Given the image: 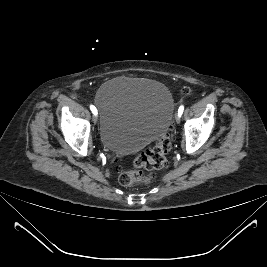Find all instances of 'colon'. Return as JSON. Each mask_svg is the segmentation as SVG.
<instances>
[{
	"label": "colon",
	"instance_id": "5ec220e1",
	"mask_svg": "<svg viewBox=\"0 0 267 267\" xmlns=\"http://www.w3.org/2000/svg\"><path fill=\"white\" fill-rule=\"evenodd\" d=\"M185 91V94H188ZM171 150V140L168 133H165L153 145L147 146L139 153L133 161L135 168L146 170H157L167 165V155ZM119 181L124 186H134L138 184L148 183L149 176H145L139 170L122 171Z\"/></svg>",
	"mask_w": 267,
	"mask_h": 267
}]
</instances>
